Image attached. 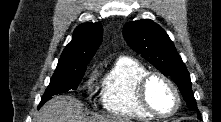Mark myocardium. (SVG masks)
<instances>
[{
	"mask_svg": "<svg viewBox=\"0 0 221 122\" xmlns=\"http://www.w3.org/2000/svg\"><path fill=\"white\" fill-rule=\"evenodd\" d=\"M153 78H160L165 83H167L168 86L173 91L176 103H175L174 109L170 113H166V114L159 113L151 106V104L148 100L147 88H148L150 81ZM136 96H137V100H138L140 106L146 112H148L149 114H151L152 116L157 117V118H170L178 112V110L181 106V96H180V92H179L176 84L173 82V80L170 77H168L167 75H165L161 72H158V71L147 72L144 76H142L140 78V80L137 82V85H136Z\"/></svg>",
	"mask_w": 221,
	"mask_h": 122,
	"instance_id": "obj_1",
	"label": "myocardium"
}]
</instances>
